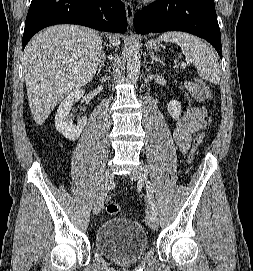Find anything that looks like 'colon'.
<instances>
[{
	"instance_id": "colon-1",
	"label": "colon",
	"mask_w": 253,
	"mask_h": 271,
	"mask_svg": "<svg viewBox=\"0 0 253 271\" xmlns=\"http://www.w3.org/2000/svg\"><path fill=\"white\" fill-rule=\"evenodd\" d=\"M196 84L198 86L200 93L203 95V97L207 101H211L212 100V93H211L208 85L202 80H197ZM204 136H205V133L201 132V133L197 134L195 136V138L193 139L192 144H191V148H190V152H189V157H188L189 162H192L196 158V156L198 155L199 148H200L201 143L204 139ZM106 211L109 215H118L121 212V207L118 204L109 203L106 206Z\"/></svg>"
}]
</instances>
